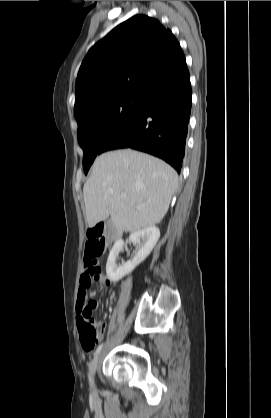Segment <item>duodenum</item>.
<instances>
[{
    "mask_svg": "<svg viewBox=\"0 0 271 418\" xmlns=\"http://www.w3.org/2000/svg\"><path fill=\"white\" fill-rule=\"evenodd\" d=\"M119 238V234L118 233H114L113 235L110 236L111 240H116Z\"/></svg>",
    "mask_w": 271,
    "mask_h": 418,
    "instance_id": "obj_1",
    "label": "duodenum"
}]
</instances>
